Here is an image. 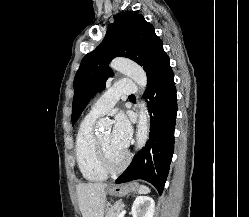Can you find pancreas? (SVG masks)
<instances>
[{
    "mask_svg": "<svg viewBox=\"0 0 249 217\" xmlns=\"http://www.w3.org/2000/svg\"><path fill=\"white\" fill-rule=\"evenodd\" d=\"M123 208V203L121 201L116 202L106 213L105 217H118L119 213Z\"/></svg>",
    "mask_w": 249,
    "mask_h": 217,
    "instance_id": "obj_1",
    "label": "pancreas"
}]
</instances>
